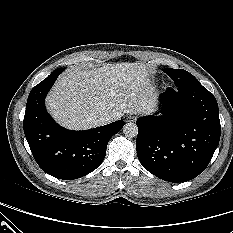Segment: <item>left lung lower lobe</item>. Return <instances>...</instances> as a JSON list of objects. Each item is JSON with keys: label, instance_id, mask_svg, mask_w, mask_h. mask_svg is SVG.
Listing matches in <instances>:
<instances>
[{"label": "left lung lower lobe", "instance_id": "obj_1", "mask_svg": "<svg viewBox=\"0 0 233 233\" xmlns=\"http://www.w3.org/2000/svg\"><path fill=\"white\" fill-rule=\"evenodd\" d=\"M161 98L162 115L136 121L139 161L165 181L192 180L205 170L219 144L217 101L199 82L167 89Z\"/></svg>", "mask_w": 233, "mask_h": 233}]
</instances>
